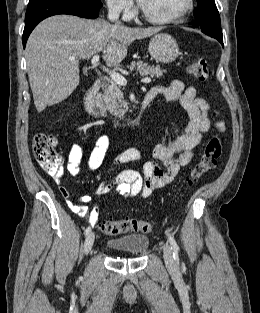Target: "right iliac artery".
Listing matches in <instances>:
<instances>
[{"label":"right iliac artery","mask_w":260,"mask_h":313,"mask_svg":"<svg viewBox=\"0 0 260 313\" xmlns=\"http://www.w3.org/2000/svg\"><path fill=\"white\" fill-rule=\"evenodd\" d=\"M90 231H91V228L87 227L86 230H85V235H88Z\"/></svg>","instance_id":"right-iliac-artery-1"}]
</instances>
